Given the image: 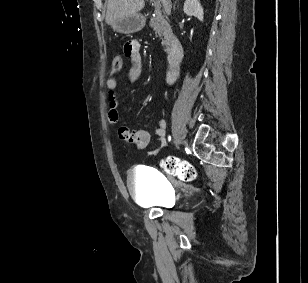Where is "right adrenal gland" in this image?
Instances as JSON below:
<instances>
[{"instance_id":"obj_1","label":"right adrenal gland","mask_w":308,"mask_h":283,"mask_svg":"<svg viewBox=\"0 0 308 283\" xmlns=\"http://www.w3.org/2000/svg\"><path fill=\"white\" fill-rule=\"evenodd\" d=\"M177 1H178V0H175V2H174V6H173L174 9H175V5H176Z\"/></svg>"}]
</instances>
